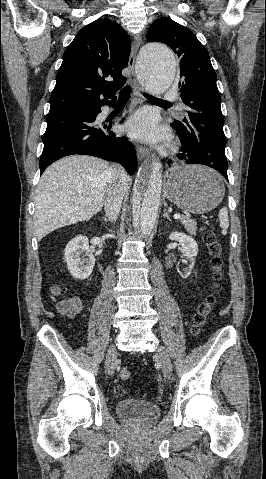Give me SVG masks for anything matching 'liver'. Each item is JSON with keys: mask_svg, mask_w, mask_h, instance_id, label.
<instances>
[{"mask_svg": "<svg viewBox=\"0 0 266 479\" xmlns=\"http://www.w3.org/2000/svg\"><path fill=\"white\" fill-rule=\"evenodd\" d=\"M108 162L87 155L69 156L43 173L35 195L34 227L40 241L61 227L84 222L103 207L112 178ZM128 177L125 193L129 190ZM91 199V202H87Z\"/></svg>", "mask_w": 266, "mask_h": 479, "instance_id": "6515ba94", "label": "liver"}]
</instances>
